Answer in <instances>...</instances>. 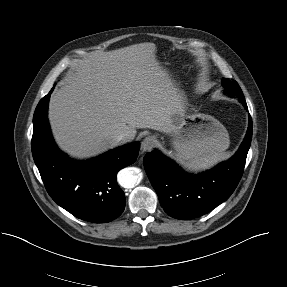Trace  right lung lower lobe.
Instances as JSON below:
<instances>
[{"label": "right lung lower lobe", "mask_w": 287, "mask_h": 287, "mask_svg": "<svg viewBox=\"0 0 287 287\" xmlns=\"http://www.w3.org/2000/svg\"><path fill=\"white\" fill-rule=\"evenodd\" d=\"M51 91L40 100L33 116L32 154L46 190L77 218L106 223L119 217L125 195L117 172L134 163L139 143L127 144L88 161H74L56 146L47 118Z\"/></svg>", "instance_id": "obj_1"}]
</instances>
